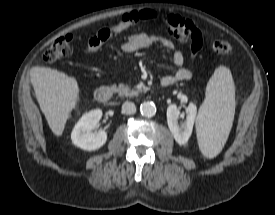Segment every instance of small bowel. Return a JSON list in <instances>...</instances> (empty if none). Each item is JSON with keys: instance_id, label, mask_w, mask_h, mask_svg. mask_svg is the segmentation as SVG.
Returning <instances> with one entry per match:
<instances>
[{"instance_id": "c3829d8e", "label": "small bowel", "mask_w": 275, "mask_h": 215, "mask_svg": "<svg viewBox=\"0 0 275 215\" xmlns=\"http://www.w3.org/2000/svg\"><path fill=\"white\" fill-rule=\"evenodd\" d=\"M127 25L123 22L112 24L101 29L96 35L91 37L85 47L86 53H93L100 49L107 41L112 39L115 34L125 30ZM154 44H161L168 49L172 54L174 64L177 70L173 75H166L162 80L172 83L177 81H187L191 78V70L184 64V56L177 48L175 43L169 38L158 34H147L144 32L136 33L122 40L119 44V49L124 54L136 52L140 49L149 47ZM202 47V34H197L192 39L191 58L194 59Z\"/></svg>"}]
</instances>
